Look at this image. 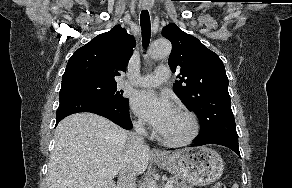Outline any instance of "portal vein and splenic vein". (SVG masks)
Returning <instances> with one entry per match:
<instances>
[{"label":"portal vein and splenic vein","mask_w":292,"mask_h":188,"mask_svg":"<svg viewBox=\"0 0 292 188\" xmlns=\"http://www.w3.org/2000/svg\"><path fill=\"white\" fill-rule=\"evenodd\" d=\"M165 188H173V181L168 180L166 185H165Z\"/></svg>","instance_id":"18ae733b"}]
</instances>
